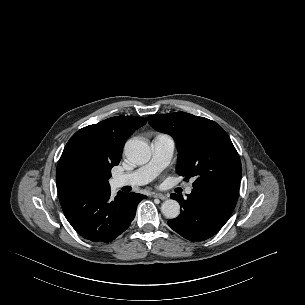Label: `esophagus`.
<instances>
[{"label":"esophagus","mask_w":305,"mask_h":305,"mask_svg":"<svg viewBox=\"0 0 305 305\" xmlns=\"http://www.w3.org/2000/svg\"><path fill=\"white\" fill-rule=\"evenodd\" d=\"M153 197L159 198V199H161V200H166V199H168V196H167V195H165V194H160V193H155V194L153 195Z\"/></svg>","instance_id":"obj_1"}]
</instances>
